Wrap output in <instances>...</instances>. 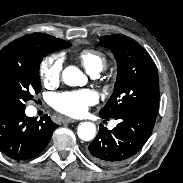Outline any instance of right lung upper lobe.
Returning a JSON list of instances; mask_svg holds the SVG:
<instances>
[{"label": "right lung upper lobe", "mask_w": 183, "mask_h": 183, "mask_svg": "<svg viewBox=\"0 0 183 183\" xmlns=\"http://www.w3.org/2000/svg\"><path fill=\"white\" fill-rule=\"evenodd\" d=\"M70 43L47 34H32L18 38L0 51V64L9 61L21 62L33 50L52 53L69 47Z\"/></svg>", "instance_id": "cb5924a9"}]
</instances>
